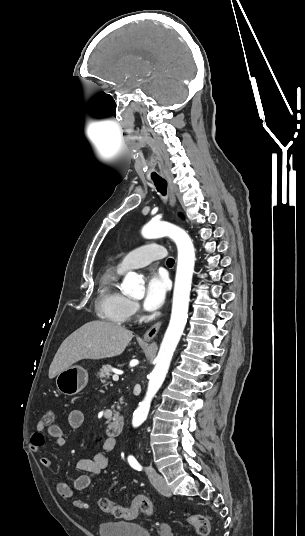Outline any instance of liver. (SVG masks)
<instances>
[{
    "label": "liver",
    "mask_w": 305,
    "mask_h": 536,
    "mask_svg": "<svg viewBox=\"0 0 305 536\" xmlns=\"http://www.w3.org/2000/svg\"><path fill=\"white\" fill-rule=\"evenodd\" d=\"M132 338L133 332L116 324L99 320L88 322L62 342L49 368V378L52 380L79 360H102L120 356Z\"/></svg>",
    "instance_id": "obj_1"
}]
</instances>
